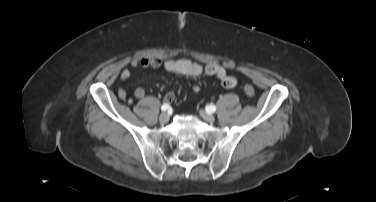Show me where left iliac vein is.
<instances>
[{
	"label": "left iliac vein",
	"mask_w": 376,
	"mask_h": 202,
	"mask_svg": "<svg viewBox=\"0 0 376 202\" xmlns=\"http://www.w3.org/2000/svg\"><path fill=\"white\" fill-rule=\"evenodd\" d=\"M199 113H200L201 117H202L205 121H207V122H209V123H213V122L215 121V117H214V115H212L211 113L205 112V111L202 110V109L199 111Z\"/></svg>",
	"instance_id": "1"
}]
</instances>
